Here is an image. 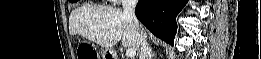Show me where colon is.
Masks as SVG:
<instances>
[{
    "label": "colon",
    "mask_w": 261,
    "mask_h": 59,
    "mask_svg": "<svg viewBox=\"0 0 261 59\" xmlns=\"http://www.w3.org/2000/svg\"><path fill=\"white\" fill-rule=\"evenodd\" d=\"M79 59H97V53L89 46L81 47L78 51Z\"/></svg>",
    "instance_id": "colon-1"
}]
</instances>
